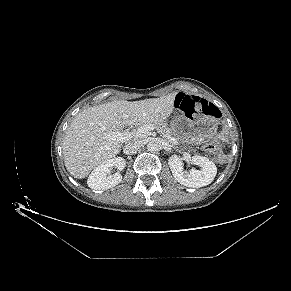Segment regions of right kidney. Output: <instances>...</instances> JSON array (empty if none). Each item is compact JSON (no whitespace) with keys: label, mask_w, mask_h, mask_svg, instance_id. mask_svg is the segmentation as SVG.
Here are the masks:
<instances>
[{"label":"right kidney","mask_w":291,"mask_h":291,"mask_svg":"<svg viewBox=\"0 0 291 291\" xmlns=\"http://www.w3.org/2000/svg\"><path fill=\"white\" fill-rule=\"evenodd\" d=\"M126 162L122 157H114L97 166L88 177V186L94 190H107L118 185L122 176L120 172L111 174L113 168L123 170Z\"/></svg>","instance_id":"ca27d5eb"}]
</instances>
